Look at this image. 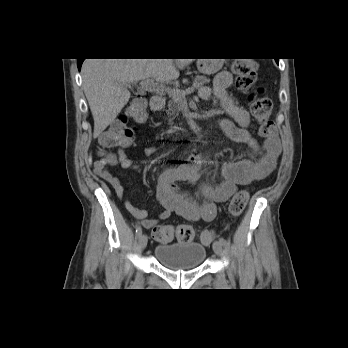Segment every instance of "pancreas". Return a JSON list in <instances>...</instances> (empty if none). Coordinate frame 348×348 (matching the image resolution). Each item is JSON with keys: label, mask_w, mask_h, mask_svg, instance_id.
<instances>
[{"label": "pancreas", "mask_w": 348, "mask_h": 348, "mask_svg": "<svg viewBox=\"0 0 348 348\" xmlns=\"http://www.w3.org/2000/svg\"><path fill=\"white\" fill-rule=\"evenodd\" d=\"M209 82H210V79L207 78L206 76L197 75L194 78L193 87L196 89L201 88L204 85L208 84ZM184 100H185V98H182L180 101H176L175 98L173 96H171V99L168 101V105H167V107H168L167 115L169 117V119H168L169 125H172L174 118L178 117V115L182 109L181 104L184 102ZM173 128L178 129L177 126H174Z\"/></svg>", "instance_id": "cf45deb5"}]
</instances>
